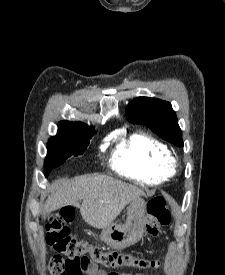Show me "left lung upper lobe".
I'll list each match as a JSON object with an SVG mask.
<instances>
[{"label": "left lung upper lobe", "instance_id": "left-lung-upper-lobe-1", "mask_svg": "<svg viewBox=\"0 0 225 275\" xmlns=\"http://www.w3.org/2000/svg\"><path fill=\"white\" fill-rule=\"evenodd\" d=\"M131 123L148 126L164 140L183 147L182 132L169 102L149 97H138L126 108Z\"/></svg>", "mask_w": 225, "mask_h": 275}]
</instances>
